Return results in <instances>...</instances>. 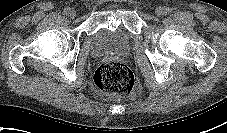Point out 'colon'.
Instances as JSON below:
<instances>
[{"instance_id": "obj_1", "label": "colon", "mask_w": 227, "mask_h": 133, "mask_svg": "<svg viewBox=\"0 0 227 133\" xmlns=\"http://www.w3.org/2000/svg\"><path fill=\"white\" fill-rule=\"evenodd\" d=\"M96 88L105 94L125 96L131 93L134 77L131 70L122 62H103L94 74Z\"/></svg>"}]
</instances>
